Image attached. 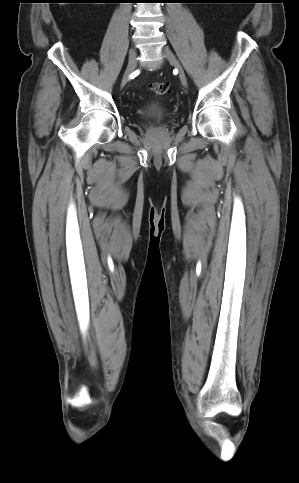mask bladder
<instances>
[{
  "label": "bladder",
  "mask_w": 299,
  "mask_h": 483,
  "mask_svg": "<svg viewBox=\"0 0 299 483\" xmlns=\"http://www.w3.org/2000/svg\"><path fill=\"white\" fill-rule=\"evenodd\" d=\"M164 112L165 111L162 107H160L157 104L152 103V104H149L145 107V109L142 112V116L145 117V118L157 117V116L162 115Z\"/></svg>",
  "instance_id": "31cf9c89"
}]
</instances>
